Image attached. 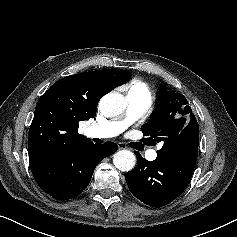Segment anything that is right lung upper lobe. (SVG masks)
I'll list each match as a JSON object with an SVG mask.
<instances>
[{
	"mask_svg": "<svg viewBox=\"0 0 237 237\" xmlns=\"http://www.w3.org/2000/svg\"><path fill=\"white\" fill-rule=\"evenodd\" d=\"M131 72L106 69L64 77L40 98L28 135L29 161L87 140L79 122L94 118L100 97L130 79Z\"/></svg>",
	"mask_w": 237,
	"mask_h": 237,
	"instance_id": "cb5924a9",
	"label": "right lung upper lobe"
}]
</instances>
